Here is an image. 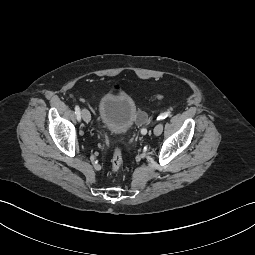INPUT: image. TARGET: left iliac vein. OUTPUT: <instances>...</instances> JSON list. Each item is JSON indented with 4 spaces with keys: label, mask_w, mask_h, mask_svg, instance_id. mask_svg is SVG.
I'll list each match as a JSON object with an SVG mask.
<instances>
[{
    "label": "left iliac vein",
    "mask_w": 255,
    "mask_h": 255,
    "mask_svg": "<svg viewBox=\"0 0 255 255\" xmlns=\"http://www.w3.org/2000/svg\"><path fill=\"white\" fill-rule=\"evenodd\" d=\"M163 130V125L162 124H158L156 125V127L154 128V134L156 136L160 135L162 133Z\"/></svg>",
    "instance_id": "left-iliac-vein-1"
}]
</instances>
